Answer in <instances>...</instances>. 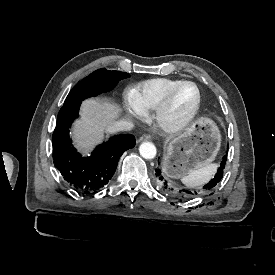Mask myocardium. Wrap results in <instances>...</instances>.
<instances>
[{"label":"myocardium","instance_id":"myocardium-1","mask_svg":"<svg viewBox=\"0 0 275 275\" xmlns=\"http://www.w3.org/2000/svg\"><path fill=\"white\" fill-rule=\"evenodd\" d=\"M186 84H190V85L194 86V88L196 90V102H195L194 106L180 120L175 121V122H166L164 120V118L171 109L176 91L178 90V88L180 86L186 85ZM201 101H202L201 91L195 82L189 81V80L178 81L170 88V90L166 94L163 102L156 110L155 121H156L157 127L161 131H163L165 133H170V134L177 133V132L184 130L197 115V113L200 109V106H201Z\"/></svg>","mask_w":275,"mask_h":275}]
</instances>
